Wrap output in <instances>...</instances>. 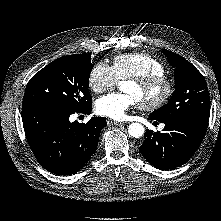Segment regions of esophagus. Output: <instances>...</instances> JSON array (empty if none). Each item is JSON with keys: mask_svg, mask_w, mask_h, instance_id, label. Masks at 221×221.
Segmentation results:
<instances>
[{"mask_svg": "<svg viewBox=\"0 0 221 221\" xmlns=\"http://www.w3.org/2000/svg\"><path fill=\"white\" fill-rule=\"evenodd\" d=\"M108 125H114V126H118V125H123L124 122H117V121H113V120H108L107 121Z\"/></svg>", "mask_w": 221, "mask_h": 221, "instance_id": "1", "label": "esophagus"}]
</instances>
